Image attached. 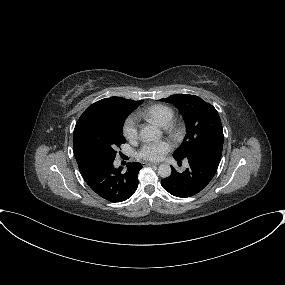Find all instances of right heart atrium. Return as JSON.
<instances>
[{
  "instance_id": "right-heart-atrium-1",
  "label": "right heart atrium",
  "mask_w": 285,
  "mask_h": 285,
  "mask_svg": "<svg viewBox=\"0 0 285 285\" xmlns=\"http://www.w3.org/2000/svg\"><path fill=\"white\" fill-rule=\"evenodd\" d=\"M138 129V118L133 114L127 116L122 125L123 136L129 141H135L138 138Z\"/></svg>"
}]
</instances>
